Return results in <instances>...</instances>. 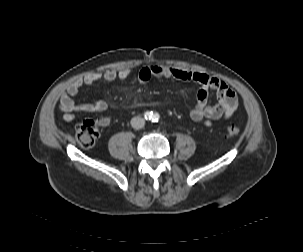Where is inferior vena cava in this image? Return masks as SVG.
Returning a JSON list of instances; mask_svg holds the SVG:
<instances>
[{
    "label": "inferior vena cava",
    "instance_id": "inferior-vena-cava-1",
    "mask_svg": "<svg viewBox=\"0 0 303 252\" xmlns=\"http://www.w3.org/2000/svg\"><path fill=\"white\" fill-rule=\"evenodd\" d=\"M145 125V120L140 117V116H135L131 119V126L134 128V129H141L143 128Z\"/></svg>",
    "mask_w": 303,
    "mask_h": 252
}]
</instances>
